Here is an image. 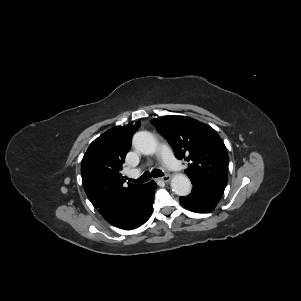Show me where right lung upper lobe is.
I'll return each mask as SVG.
<instances>
[{"mask_svg": "<svg viewBox=\"0 0 301 301\" xmlns=\"http://www.w3.org/2000/svg\"><path fill=\"white\" fill-rule=\"evenodd\" d=\"M140 122L116 126L95 139L81 162L84 190L95 208L112 225L128 210L142 184L123 185L121 174L131 138Z\"/></svg>", "mask_w": 301, "mask_h": 301, "instance_id": "obj_1", "label": "right lung upper lobe"}]
</instances>
